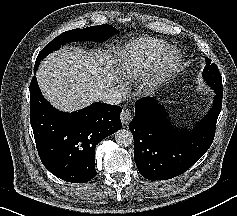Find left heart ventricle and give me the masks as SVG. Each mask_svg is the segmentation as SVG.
Instances as JSON below:
<instances>
[{"label":"left heart ventricle","instance_id":"1","mask_svg":"<svg viewBox=\"0 0 237 216\" xmlns=\"http://www.w3.org/2000/svg\"><path fill=\"white\" fill-rule=\"evenodd\" d=\"M173 55H170L169 57H168V60H167V63H166V66H167V69H169L171 66H172V64H173Z\"/></svg>","mask_w":237,"mask_h":216}]
</instances>
